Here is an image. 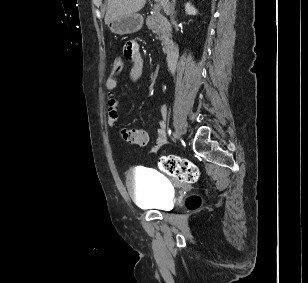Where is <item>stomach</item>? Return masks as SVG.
<instances>
[{"label": "stomach", "mask_w": 308, "mask_h": 283, "mask_svg": "<svg viewBox=\"0 0 308 283\" xmlns=\"http://www.w3.org/2000/svg\"><path fill=\"white\" fill-rule=\"evenodd\" d=\"M143 26V17L137 13L117 17L108 24L111 32L118 35H126L139 31Z\"/></svg>", "instance_id": "0dacf381"}]
</instances>
